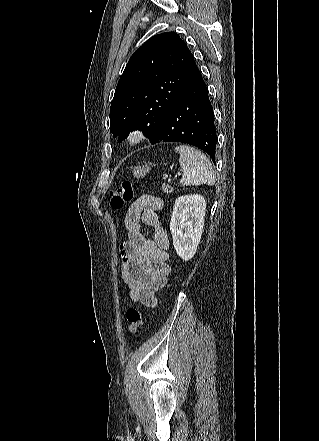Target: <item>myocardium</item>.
I'll return each mask as SVG.
<instances>
[{
    "instance_id": "1",
    "label": "myocardium",
    "mask_w": 319,
    "mask_h": 441,
    "mask_svg": "<svg viewBox=\"0 0 319 441\" xmlns=\"http://www.w3.org/2000/svg\"><path fill=\"white\" fill-rule=\"evenodd\" d=\"M144 138H145V135H144L143 131L139 128H135V129L130 130L128 132V134L126 135V138H125V143L128 146L135 147V146H138L140 143H142Z\"/></svg>"
}]
</instances>
